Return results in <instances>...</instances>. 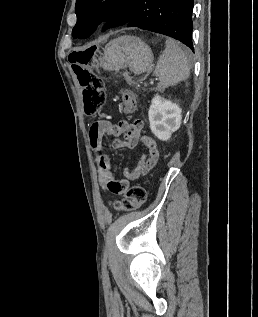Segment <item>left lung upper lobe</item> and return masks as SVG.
I'll return each instance as SVG.
<instances>
[{
    "label": "left lung upper lobe",
    "instance_id": "1",
    "mask_svg": "<svg viewBox=\"0 0 258 317\" xmlns=\"http://www.w3.org/2000/svg\"><path fill=\"white\" fill-rule=\"evenodd\" d=\"M137 0H76L77 23L74 38L90 36L102 21H108L104 29L125 25Z\"/></svg>",
    "mask_w": 258,
    "mask_h": 317
}]
</instances>
